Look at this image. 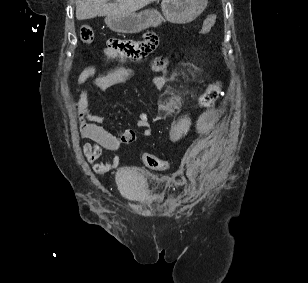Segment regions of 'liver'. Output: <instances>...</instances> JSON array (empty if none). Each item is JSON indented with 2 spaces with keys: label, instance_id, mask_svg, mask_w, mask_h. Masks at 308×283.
<instances>
[{
  "label": "liver",
  "instance_id": "obj_1",
  "mask_svg": "<svg viewBox=\"0 0 308 283\" xmlns=\"http://www.w3.org/2000/svg\"><path fill=\"white\" fill-rule=\"evenodd\" d=\"M156 0H75L76 18L78 20L91 19L96 16H121L135 13V11L155 2Z\"/></svg>",
  "mask_w": 308,
  "mask_h": 283
}]
</instances>
